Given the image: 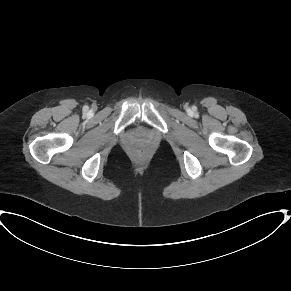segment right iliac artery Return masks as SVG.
Instances as JSON below:
<instances>
[{"mask_svg": "<svg viewBox=\"0 0 291 291\" xmlns=\"http://www.w3.org/2000/svg\"><path fill=\"white\" fill-rule=\"evenodd\" d=\"M85 110H88V107L87 106H85Z\"/></svg>", "mask_w": 291, "mask_h": 291, "instance_id": "obj_1", "label": "right iliac artery"}]
</instances>
